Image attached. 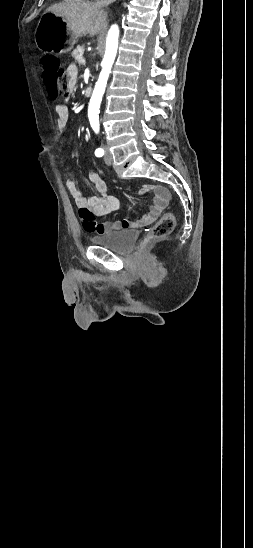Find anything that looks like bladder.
Returning <instances> with one entry per match:
<instances>
[{"instance_id": "1", "label": "bladder", "mask_w": 253, "mask_h": 548, "mask_svg": "<svg viewBox=\"0 0 253 548\" xmlns=\"http://www.w3.org/2000/svg\"><path fill=\"white\" fill-rule=\"evenodd\" d=\"M139 236L137 230L110 231L91 237L90 241L114 252H126Z\"/></svg>"}]
</instances>
